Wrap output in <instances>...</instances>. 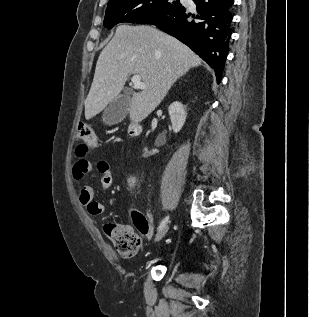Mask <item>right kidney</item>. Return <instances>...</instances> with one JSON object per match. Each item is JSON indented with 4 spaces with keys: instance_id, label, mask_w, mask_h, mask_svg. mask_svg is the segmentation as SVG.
Here are the masks:
<instances>
[{
    "instance_id": "1",
    "label": "right kidney",
    "mask_w": 309,
    "mask_h": 317,
    "mask_svg": "<svg viewBox=\"0 0 309 317\" xmlns=\"http://www.w3.org/2000/svg\"><path fill=\"white\" fill-rule=\"evenodd\" d=\"M168 112L171 119L172 129L175 133H177L182 129L186 121L187 112L184 109V106L178 101L173 102L169 106ZM144 151L145 153H148V150L146 148L144 149ZM151 153H158V150H152Z\"/></svg>"
}]
</instances>
